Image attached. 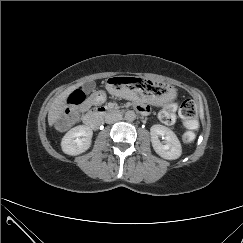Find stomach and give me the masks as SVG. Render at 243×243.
<instances>
[{
	"label": "stomach",
	"mask_w": 243,
	"mask_h": 243,
	"mask_svg": "<svg viewBox=\"0 0 243 243\" xmlns=\"http://www.w3.org/2000/svg\"><path fill=\"white\" fill-rule=\"evenodd\" d=\"M107 86L114 95L158 106L169 104L176 98L174 88L148 78L115 76L108 79Z\"/></svg>",
	"instance_id": "1"
}]
</instances>
